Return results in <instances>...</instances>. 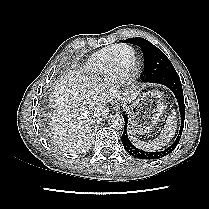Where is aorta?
Masks as SVG:
<instances>
[{
  "label": "aorta",
  "mask_w": 209,
  "mask_h": 209,
  "mask_svg": "<svg viewBox=\"0 0 209 209\" xmlns=\"http://www.w3.org/2000/svg\"><path fill=\"white\" fill-rule=\"evenodd\" d=\"M108 124L114 129H121L124 125V118L119 114L111 115Z\"/></svg>",
  "instance_id": "1"
}]
</instances>
